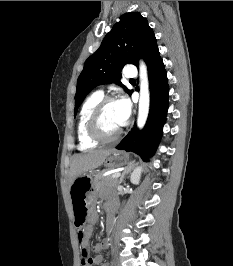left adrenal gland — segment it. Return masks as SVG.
I'll return each mask as SVG.
<instances>
[{
	"label": "left adrenal gland",
	"instance_id": "a2214340",
	"mask_svg": "<svg viewBox=\"0 0 233 266\" xmlns=\"http://www.w3.org/2000/svg\"><path fill=\"white\" fill-rule=\"evenodd\" d=\"M136 165H137L136 163H133V164L129 165L128 167H126V169L122 172L120 182H119L120 184L124 181L125 176L128 173H130L132 169L134 171V169L137 168Z\"/></svg>",
	"mask_w": 233,
	"mask_h": 266
}]
</instances>
